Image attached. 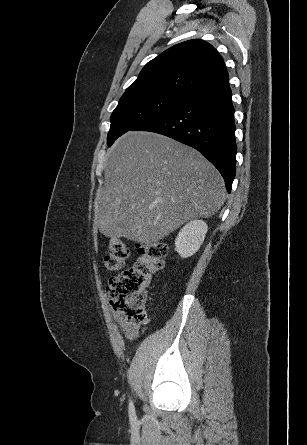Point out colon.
I'll list each match as a JSON object with an SVG mask.
<instances>
[{"instance_id":"1","label":"colon","mask_w":307,"mask_h":445,"mask_svg":"<svg viewBox=\"0 0 307 445\" xmlns=\"http://www.w3.org/2000/svg\"><path fill=\"white\" fill-rule=\"evenodd\" d=\"M129 247L120 238H113L109 251L104 257V266L109 271L124 267L129 256ZM167 247L162 242L138 246L135 263L117 276H112L106 288L107 298L112 308L122 318L132 324H141L146 320V301L148 288L154 275L164 265Z\"/></svg>"}]
</instances>
